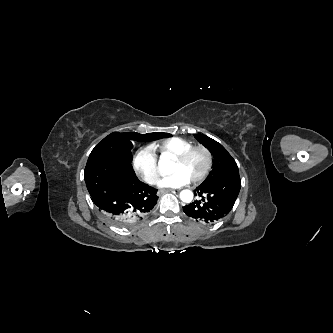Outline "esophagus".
I'll return each mask as SVG.
<instances>
[{"label": "esophagus", "mask_w": 333, "mask_h": 333, "mask_svg": "<svg viewBox=\"0 0 333 333\" xmlns=\"http://www.w3.org/2000/svg\"><path fill=\"white\" fill-rule=\"evenodd\" d=\"M169 191H172V189H161V190H158L157 195L161 196L162 194L169 192Z\"/></svg>", "instance_id": "esophagus-1"}]
</instances>
